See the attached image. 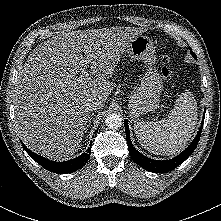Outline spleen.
Listing matches in <instances>:
<instances>
[{
	"instance_id": "spleen-1",
	"label": "spleen",
	"mask_w": 221,
	"mask_h": 221,
	"mask_svg": "<svg viewBox=\"0 0 221 221\" xmlns=\"http://www.w3.org/2000/svg\"><path fill=\"white\" fill-rule=\"evenodd\" d=\"M197 103L189 90L181 93L173 110L156 122L135 120L139 143L151 153L175 155L185 148L197 122Z\"/></svg>"
}]
</instances>
